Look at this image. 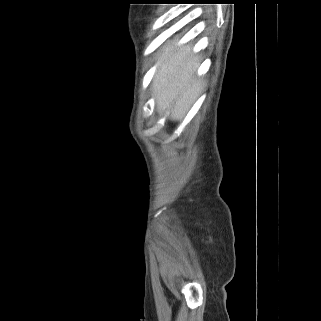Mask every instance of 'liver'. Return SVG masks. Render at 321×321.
Listing matches in <instances>:
<instances>
[{"label":"liver","mask_w":321,"mask_h":321,"mask_svg":"<svg viewBox=\"0 0 321 321\" xmlns=\"http://www.w3.org/2000/svg\"><path fill=\"white\" fill-rule=\"evenodd\" d=\"M189 52V46L180 48L161 65L153 79L157 108L163 111L174 102L171 117L175 120L184 117L203 89L201 81L193 80L200 57H191Z\"/></svg>","instance_id":"1"}]
</instances>
